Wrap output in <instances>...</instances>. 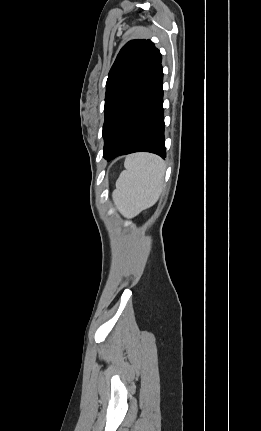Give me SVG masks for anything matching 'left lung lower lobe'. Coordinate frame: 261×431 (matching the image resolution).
<instances>
[{"instance_id": "1", "label": "left lung lower lobe", "mask_w": 261, "mask_h": 431, "mask_svg": "<svg viewBox=\"0 0 261 431\" xmlns=\"http://www.w3.org/2000/svg\"><path fill=\"white\" fill-rule=\"evenodd\" d=\"M163 69L151 73L129 104L107 160L134 152L166 157L163 121Z\"/></svg>"}]
</instances>
